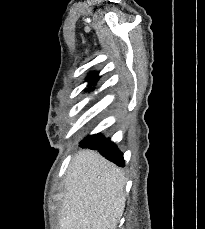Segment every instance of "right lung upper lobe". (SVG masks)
Returning a JSON list of instances; mask_svg holds the SVG:
<instances>
[{
    "label": "right lung upper lobe",
    "instance_id": "obj_1",
    "mask_svg": "<svg viewBox=\"0 0 205 229\" xmlns=\"http://www.w3.org/2000/svg\"><path fill=\"white\" fill-rule=\"evenodd\" d=\"M97 79H98V75H97V73H94V74H90L88 76L87 81L89 82V84H95V82H96ZM93 89H94L93 87H89V88H86L85 90L86 91H91Z\"/></svg>",
    "mask_w": 205,
    "mask_h": 229
}]
</instances>
